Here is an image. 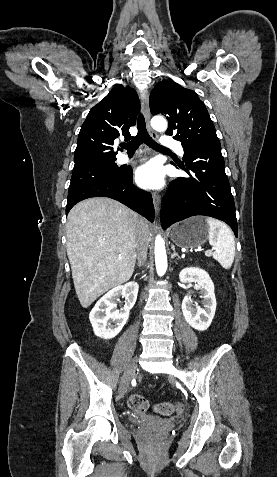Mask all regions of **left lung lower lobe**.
Here are the masks:
<instances>
[{
	"instance_id": "0a47b994",
	"label": "left lung lower lobe",
	"mask_w": 277,
	"mask_h": 477,
	"mask_svg": "<svg viewBox=\"0 0 277 477\" xmlns=\"http://www.w3.org/2000/svg\"><path fill=\"white\" fill-rule=\"evenodd\" d=\"M184 161V169L191 178L172 181L162 203V228L191 216L205 215L226 222L237 237L235 204L221 146L184 148Z\"/></svg>"
}]
</instances>
